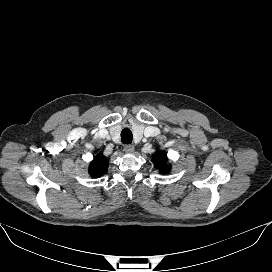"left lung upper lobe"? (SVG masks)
Segmentation results:
<instances>
[{
  "mask_svg": "<svg viewBox=\"0 0 272 272\" xmlns=\"http://www.w3.org/2000/svg\"><path fill=\"white\" fill-rule=\"evenodd\" d=\"M167 161L166 154L164 152H157L153 162L157 168L161 169L162 173H168L170 171V166H164Z\"/></svg>",
  "mask_w": 272,
  "mask_h": 272,
  "instance_id": "1",
  "label": "left lung upper lobe"
}]
</instances>
